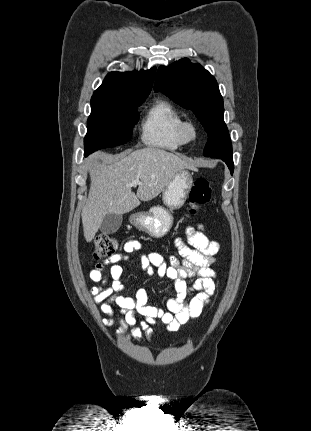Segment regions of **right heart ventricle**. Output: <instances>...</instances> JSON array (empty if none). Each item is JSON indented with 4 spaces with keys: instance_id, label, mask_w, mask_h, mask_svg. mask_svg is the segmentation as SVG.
I'll return each instance as SVG.
<instances>
[{
    "instance_id": "obj_1",
    "label": "right heart ventricle",
    "mask_w": 311,
    "mask_h": 431,
    "mask_svg": "<svg viewBox=\"0 0 311 431\" xmlns=\"http://www.w3.org/2000/svg\"><path fill=\"white\" fill-rule=\"evenodd\" d=\"M184 119V114L173 102L167 99L156 101L142 118V143L151 149L177 151L186 144L179 133L180 123Z\"/></svg>"
}]
</instances>
